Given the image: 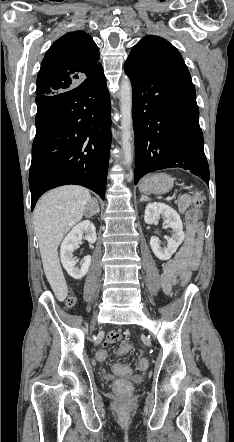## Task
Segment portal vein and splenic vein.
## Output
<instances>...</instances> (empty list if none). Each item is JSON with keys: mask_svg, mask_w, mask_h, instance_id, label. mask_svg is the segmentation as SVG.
I'll use <instances>...</instances> for the list:
<instances>
[{"mask_svg": "<svg viewBox=\"0 0 234 442\" xmlns=\"http://www.w3.org/2000/svg\"><path fill=\"white\" fill-rule=\"evenodd\" d=\"M173 198H174L173 196H168V197L166 198V200L169 201V200H172Z\"/></svg>", "mask_w": 234, "mask_h": 442, "instance_id": "18ae733b", "label": "portal vein and splenic vein"}]
</instances>
